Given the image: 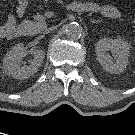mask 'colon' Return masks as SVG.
Segmentation results:
<instances>
[{"mask_svg":"<svg viewBox=\"0 0 135 135\" xmlns=\"http://www.w3.org/2000/svg\"><path fill=\"white\" fill-rule=\"evenodd\" d=\"M132 22H133V24L135 25V17L133 18V21H132Z\"/></svg>","mask_w":135,"mask_h":135,"instance_id":"1","label":"colon"}]
</instances>
